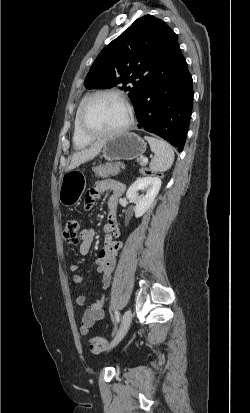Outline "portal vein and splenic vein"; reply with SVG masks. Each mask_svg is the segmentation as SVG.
I'll use <instances>...</instances> for the list:
<instances>
[{
	"mask_svg": "<svg viewBox=\"0 0 250 413\" xmlns=\"http://www.w3.org/2000/svg\"><path fill=\"white\" fill-rule=\"evenodd\" d=\"M142 160H143V162H145V163L148 162V159H147V158H143Z\"/></svg>",
	"mask_w": 250,
	"mask_h": 413,
	"instance_id": "obj_1",
	"label": "portal vein and splenic vein"
}]
</instances>
